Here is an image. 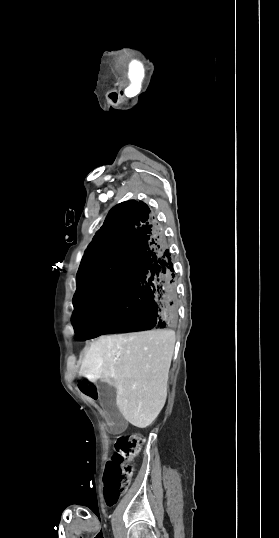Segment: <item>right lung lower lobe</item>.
I'll return each instance as SVG.
<instances>
[{
  "label": "right lung lower lobe",
  "mask_w": 279,
  "mask_h": 538,
  "mask_svg": "<svg viewBox=\"0 0 279 538\" xmlns=\"http://www.w3.org/2000/svg\"><path fill=\"white\" fill-rule=\"evenodd\" d=\"M168 241L142 201L115 206L84 253L72 324L84 339L103 334L173 330L174 269Z\"/></svg>",
  "instance_id": "98d812e1"
}]
</instances>
